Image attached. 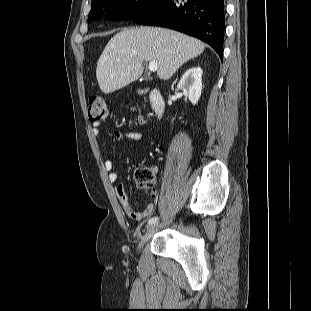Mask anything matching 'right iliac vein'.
Masks as SVG:
<instances>
[{
  "mask_svg": "<svg viewBox=\"0 0 311 311\" xmlns=\"http://www.w3.org/2000/svg\"><path fill=\"white\" fill-rule=\"evenodd\" d=\"M159 226H160L159 224H152V225L148 226L145 234L142 236V238L138 244V248H141L143 246V244L145 242H147L152 237V235L154 234V232L157 230V228Z\"/></svg>",
  "mask_w": 311,
  "mask_h": 311,
  "instance_id": "63e3f726",
  "label": "right iliac vein"
}]
</instances>
